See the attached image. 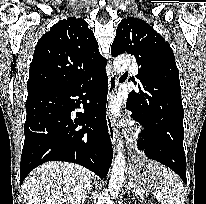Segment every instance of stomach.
<instances>
[{
    "label": "stomach",
    "instance_id": "stomach-1",
    "mask_svg": "<svg viewBox=\"0 0 206 204\" xmlns=\"http://www.w3.org/2000/svg\"><path fill=\"white\" fill-rule=\"evenodd\" d=\"M128 176L134 190L148 193L160 189L163 183V166L146 159H133L128 167Z\"/></svg>",
    "mask_w": 206,
    "mask_h": 204
}]
</instances>
